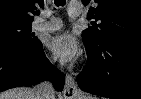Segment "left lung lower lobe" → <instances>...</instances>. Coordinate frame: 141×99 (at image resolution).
Instances as JSON below:
<instances>
[{"mask_svg":"<svg viewBox=\"0 0 141 99\" xmlns=\"http://www.w3.org/2000/svg\"><path fill=\"white\" fill-rule=\"evenodd\" d=\"M85 46L88 62L77 78L81 90L112 99H141V41Z\"/></svg>","mask_w":141,"mask_h":99,"instance_id":"left-lung-lower-lobe-1","label":"left lung lower lobe"}]
</instances>
